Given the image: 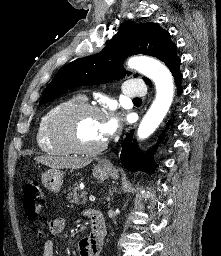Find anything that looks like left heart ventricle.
Returning <instances> with one entry per match:
<instances>
[{
    "instance_id": "1",
    "label": "left heart ventricle",
    "mask_w": 221,
    "mask_h": 256,
    "mask_svg": "<svg viewBox=\"0 0 221 256\" xmlns=\"http://www.w3.org/2000/svg\"><path fill=\"white\" fill-rule=\"evenodd\" d=\"M103 117L86 113L76 118L74 122V137L76 141L85 147H93L104 141L102 133Z\"/></svg>"
}]
</instances>
